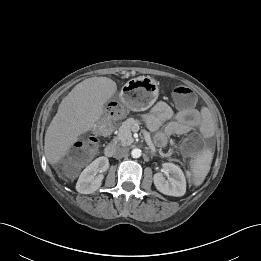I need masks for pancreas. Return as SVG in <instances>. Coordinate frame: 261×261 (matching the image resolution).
I'll return each instance as SVG.
<instances>
[{"instance_id":"obj_1","label":"pancreas","mask_w":261,"mask_h":261,"mask_svg":"<svg viewBox=\"0 0 261 261\" xmlns=\"http://www.w3.org/2000/svg\"><path fill=\"white\" fill-rule=\"evenodd\" d=\"M140 124V121L135 120L134 118H128L125 120L119 127L117 136L113 138V143L122 146L131 145L134 141L131 132L137 131Z\"/></svg>"}]
</instances>
